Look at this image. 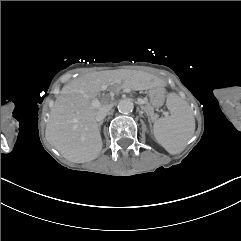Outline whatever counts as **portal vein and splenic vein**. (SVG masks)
Here are the masks:
<instances>
[{
	"label": "portal vein and splenic vein",
	"instance_id": "portal-vein-and-splenic-vein-1",
	"mask_svg": "<svg viewBox=\"0 0 241 241\" xmlns=\"http://www.w3.org/2000/svg\"><path fill=\"white\" fill-rule=\"evenodd\" d=\"M137 102L144 105V104H146L147 101H146V99H144L142 97H137ZM92 105L96 108L101 106L99 100H97V99L93 100Z\"/></svg>",
	"mask_w": 241,
	"mask_h": 241
}]
</instances>
